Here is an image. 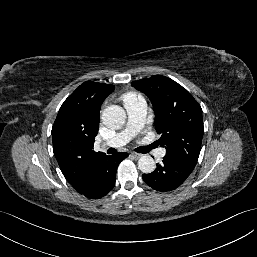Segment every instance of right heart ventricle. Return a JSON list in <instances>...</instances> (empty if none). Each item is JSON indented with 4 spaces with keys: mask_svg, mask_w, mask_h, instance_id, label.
I'll return each mask as SVG.
<instances>
[{
    "mask_svg": "<svg viewBox=\"0 0 257 257\" xmlns=\"http://www.w3.org/2000/svg\"><path fill=\"white\" fill-rule=\"evenodd\" d=\"M133 99H139V97L134 93H130L124 97V102L126 103L127 101L133 100Z\"/></svg>",
    "mask_w": 257,
    "mask_h": 257,
    "instance_id": "right-heart-ventricle-1",
    "label": "right heart ventricle"
}]
</instances>
